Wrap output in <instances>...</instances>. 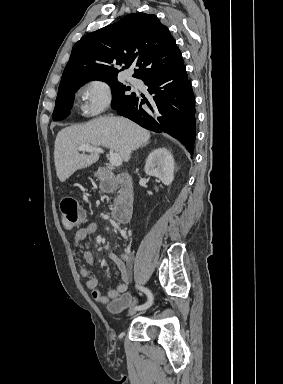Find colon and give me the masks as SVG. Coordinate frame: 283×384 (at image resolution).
I'll return each instance as SVG.
<instances>
[{"label": "colon", "mask_w": 283, "mask_h": 384, "mask_svg": "<svg viewBox=\"0 0 283 384\" xmlns=\"http://www.w3.org/2000/svg\"><path fill=\"white\" fill-rule=\"evenodd\" d=\"M105 188L111 189L112 185L110 183H106ZM60 212L62 225L66 230H73L83 222V213L78 205V202L73 197H65L61 201ZM131 302V295L129 293H124L117 299L113 300L108 305V309L112 313H118L128 308Z\"/></svg>", "instance_id": "obj_1"}]
</instances>
